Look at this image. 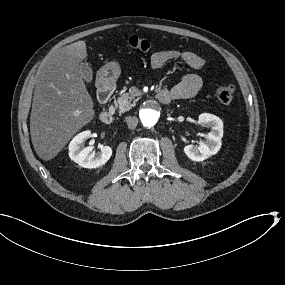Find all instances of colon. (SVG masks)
<instances>
[{
	"mask_svg": "<svg viewBox=\"0 0 285 285\" xmlns=\"http://www.w3.org/2000/svg\"><path fill=\"white\" fill-rule=\"evenodd\" d=\"M127 45L141 52H148L151 43L140 36L133 35L127 40ZM236 95V88L232 84H219L216 88V97L221 104H230Z\"/></svg>",
	"mask_w": 285,
	"mask_h": 285,
	"instance_id": "colon-1",
	"label": "colon"
}]
</instances>
